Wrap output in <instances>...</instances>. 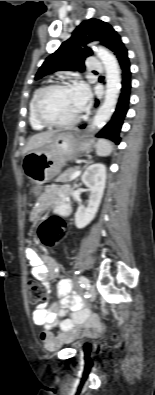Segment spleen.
<instances>
[{
	"label": "spleen",
	"mask_w": 155,
	"mask_h": 395,
	"mask_svg": "<svg viewBox=\"0 0 155 395\" xmlns=\"http://www.w3.org/2000/svg\"><path fill=\"white\" fill-rule=\"evenodd\" d=\"M113 150L112 144L106 139H99L96 144V154L101 157H106L111 154Z\"/></svg>",
	"instance_id": "obj_1"
}]
</instances>
